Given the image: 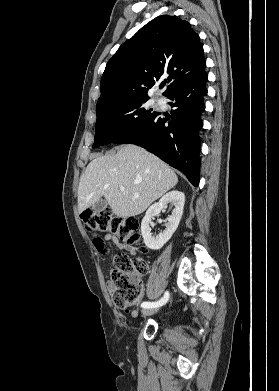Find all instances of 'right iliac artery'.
Wrapping results in <instances>:
<instances>
[{
	"label": "right iliac artery",
	"mask_w": 279,
	"mask_h": 391,
	"mask_svg": "<svg viewBox=\"0 0 279 391\" xmlns=\"http://www.w3.org/2000/svg\"><path fill=\"white\" fill-rule=\"evenodd\" d=\"M169 299V292L166 291L164 296L159 300V301H156V302H143L141 304V307L146 309V308H156V307H159V306H162L164 305Z\"/></svg>",
	"instance_id": "obj_1"
}]
</instances>
